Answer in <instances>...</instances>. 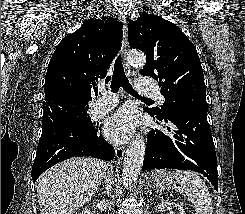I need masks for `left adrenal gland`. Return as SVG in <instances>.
Listing matches in <instances>:
<instances>
[{"label":"left adrenal gland","mask_w":245,"mask_h":214,"mask_svg":"<svg viewBox=\"0 0 245 214\" xmlns=\"http://www.w3.org/2000/svg\"><path fill=\"white\" fill-rule=\"evenodd\" d=\"M148 187H150V184L149 183H147V189H148Z\"/></svg>","instance_id":"1"}]
</instances>
